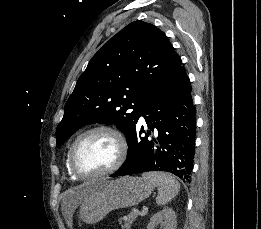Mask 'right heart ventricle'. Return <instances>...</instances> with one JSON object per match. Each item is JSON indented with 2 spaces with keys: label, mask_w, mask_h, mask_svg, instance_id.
<instances>
[{
  "label": "right heart ventricle",
  "mask_w": 261,
  "mask_h": 229,
  "mask_svg": "<svg viewBox=\"0 0 261 229\" xmlns=\"http://www.w3.org/2000/svg\"><path fill=\"white\" fill-rule=\"evenodd\" d=\"M70 150V149H69ZM68 157H69V151H68V153H67V168H68V170H69V173L72 175V176H74L75 177V174H73V172L69 169V167H68Z\"/></svg>",
  "instance_id": "1"
}]
</instances>
